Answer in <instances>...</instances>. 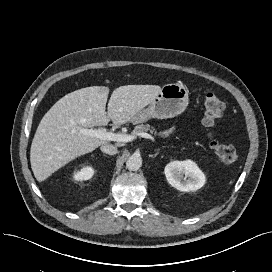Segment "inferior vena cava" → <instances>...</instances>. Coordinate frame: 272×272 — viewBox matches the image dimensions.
<instances>
[{
    "mask_svg": "<svg viewBox=\"0 0 272 272\" xmlns=\"http://www.w3.org/2000/svg\"><path fill=\"white\" fill-rule=\"evenodd\" d=\"M101 151L106 153V154H109V155H114L117 153V147L110 144V143H104L101 145L100 147Z\"/></svg>",
    "mask_w": 272,
    "mask_h": 272,
    "instance_id": "obj_1",
    "label": "inferior vena cava"
}]
</instances>
